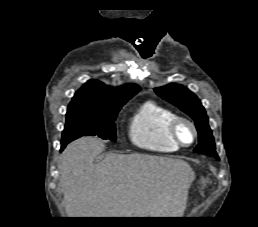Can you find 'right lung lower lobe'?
I'll return each instance as SVG.
<instances>
[{
  "label": "right lung lower lobe",
  "instance_id": "obj_1",
  "mask_svg": "<svg viewBox=\"0 0 258 227\" xmlns=\"http://www.w3.org/2000/svg\"><path fill=\"white\" fill-rule=\"evenodd\" d=\"M67 144H68V143H65V144H62V145H61V151L66 147Z\"/></svg>",
  "mask_w": 258,
  "mask_h": 227
}]
</instances>
